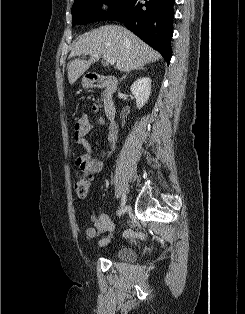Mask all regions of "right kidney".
<instances>
[{
    "mask_svg": "<svg viewBox=\"0 0 245 314\" xmlns=\"http://www.w3.org/2000/svg\"><path fill=\"white\" fill-rule=\"evenodd\" d=\"M151 79L142 77L137 79L130 87L131 93L136 98V105L141 109L148 101L151 93Z\"/></svg>",
    "mask_w": 245,
    "mask_h": 314,
    "instance_id": "obj_1",
    "label": "right kidney"
}]
</instances>
